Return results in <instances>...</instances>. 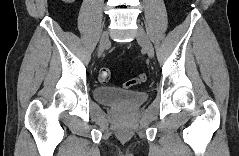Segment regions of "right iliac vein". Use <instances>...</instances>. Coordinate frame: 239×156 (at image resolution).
Masks as SVG:
<instances>
[{
	"label": "right iliac vein",
	"mask_w": 239,
	"mask_h": 156,
	"mask_svg": "<svg viewBox=\"0 0 239 156\" xmlns=\"http://www.w3.org/2000/svg\"><path fill=\"white\" fill-rule=\"evenodd\" d=\"M108 43H109L108 32L104 31L102 33V36H101V39H100V43H99V47H98V56L102 55V53L104 52V50L107 47Z\"/></svg>",
	"instance_id": "63e3f726"
}]
</instances>
